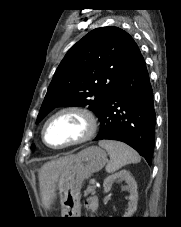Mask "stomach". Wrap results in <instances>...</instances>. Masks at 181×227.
<instances>
[{
    "mask_svg": "<svg viewBox=\"0 0 181 227\" xmlns=\"http://www.w3.org/2000/svg\"><path fill=\"white\" fill-rule=\"evenodd\" d=\"M106 162V152L98 146H90L76 154L75 159L61 172L58 187L62 217H76L79 214L84 180L101 170Z\"/></svg>",
    "mask_w": 181,
    "mask_h": 227,
    "instance_id": "0dacf381",
    "label": "stomach"
}]
</instances>
